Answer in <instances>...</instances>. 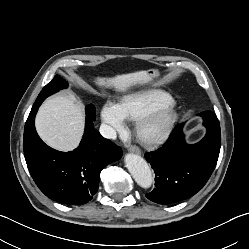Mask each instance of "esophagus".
I'll use <instances>...</instances> for the list:
<instances>
[{
  "label": "esophagus",
  "mask_w": 249,
  "mask_h": 249,
  "mask_svg": "<svg viewBox=\"0 0 249 249\" xmlns=\"http://www.w3.org/2000/svg\"><path fill=\"white\" fill-rule=\"evenodd\" d=\"M129 151L135 154L140 155L141 154V150L138 146H130Z\"/></svg>",
  "instance_id": "1"
}]
</instances>
